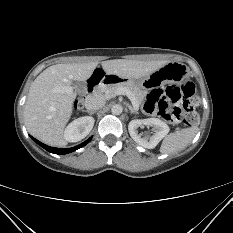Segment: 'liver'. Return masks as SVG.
I'll return each instance as SVG.
<instances>
[{
	"instance_id": "1",
	"label": "liver",
	"mask_w": 233,
	"mask_h": 233,
	"mask_svg": "<svg viewBox=\"0 0 233 233\" xmlns=\"http://www.w3.org/2000/svg\"><path fill=\"white\" fill-rule=\"evenodd\" d=\"M168 61L114 59L101 62L106 74L126 79L147 77ZM98 62L56 64L45 69L32 83L24 106L28 132L51 146H65L64 129L77 93L72 83L85 82Z\"/></svg>"
}]
</instances>
